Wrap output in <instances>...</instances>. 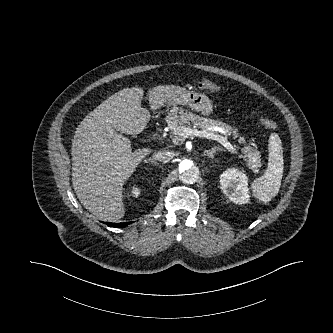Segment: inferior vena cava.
Returning <instances> with one entry per match:
<instances>
[{"instance_id": "obj_1", "label": "inferior vena cava", "mask_w": 333, "mask_h": 333, "mask_svg": "<svg viewBox=\"0 0 333 333\" xmlns=\"http://www.w3.org/2000/svg\"><path fill=\"white\" fill-rule=\"evenodd\" d=\"M174 157V153L170 151H157L153 154V159L155 161L168 163L170 162Z\"/></svg>"}]
</instances>
